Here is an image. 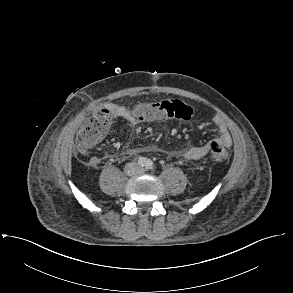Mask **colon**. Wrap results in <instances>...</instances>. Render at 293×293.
I'll return each instance as SVG.
<instances>
[{
	"label": "colon",
	"mask_w": 293,
	"mask_h": 293,
	"mask_svg": "<svg viewBox=\"0 0 293 293\" xmlns=\"http://www.w3.org/2000/svg\"><path fill=\"white\" fill-rule=\"evenodd\" d=\"M134 116L140 121L153 122L167 118L188 120L194 115L191 106L178 99L156 103H142L134 108ZM113 122V115L108 109H101L90 114L82 123L76 138L75 150L79 157H84L90 149L101 141ZM227 148L216 141L210 143L209 156L212 161L220 162L228 158Z\"/></svg>",
	"instance_id": "obj_1"
}]
</instances>
